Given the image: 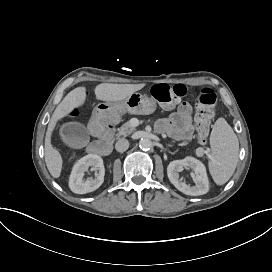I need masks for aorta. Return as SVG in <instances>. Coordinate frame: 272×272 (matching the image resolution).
<instances>
[{
  "instance_id": "1",
  "label": "aorta",
  "mask_w": 272,
  "mask_h": 272,
  "mask_svg": "<svg viewBox=\"0 0 272 272\" xmlns=\"http://www.w3.org/2000/svg\"><path fill=\"white\" fill-rule=\"evenodd\" d=\"M140 148L143 150H149L153 147V142L151 139L149 138H143L140 140Z\"/></svg>"
}]
</instances>
